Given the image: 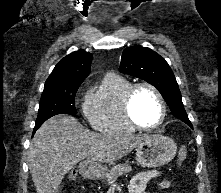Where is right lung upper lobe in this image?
I'll return each mask as SVG.
<instances>
[{"instance_id": "right-lung-upper-lobe-1", "label": "right lung upper lobe", "mask_w": 221, "mask_h": 193, "mask_svg": "<svg viewBox=\"0 0 221 193\" xmlns=\"http://www.w3.org/2000/svg\"><path fill=\"white\" fill-rule=\"evenodd\" d=\"M92 58L84 50L70 53L55 66L44 89L80 86L89 75Z\"/></svg>"}]
</instances>
